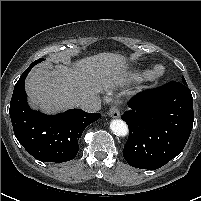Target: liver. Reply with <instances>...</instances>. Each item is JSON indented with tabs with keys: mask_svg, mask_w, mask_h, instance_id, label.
Returning a JSON list of instances; mask_svg holds the SVG:
<instances>
[{
	"mask_svg": "<svg viewBox=\"0 0 201 201\" xmlns=\"http://www.w3.org/2000/svg\"><path fill=\"white\" fill-rule=\"evenodd\" d=\"M73 64L32 70L25 83L32 104L47 114L56 113L73 108L80 96H96L126 81V58L120 54L103 52Z\"/></svg>",
	"mask_w": 201,
	"mask_h": 201,
	"instance_id": "liver-1",
	"label": "liver"
}]
</instances>
